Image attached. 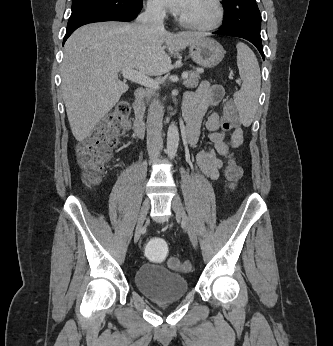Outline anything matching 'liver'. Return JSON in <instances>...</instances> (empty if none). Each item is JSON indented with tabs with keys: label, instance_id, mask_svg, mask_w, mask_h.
Instances as JSON below:
<instances>
[{
	"label": "liver",
	"instance_id": "obj_1",
	"mask_svg": "<svg viewBox=\"0 0 333 346\" xmlns=\"http://www.w3.org/2000/svg\"><path fill=\"white\" fill-rule=\"evenodd\" d=\"M203 37L150 31L138 23H94L77 29L65 43L61 66L62 96L75 139H86L128 91L118 78L122 69L163 75L172 67L170 55Z\"/></svg>",
	"mask_w": 333,
	"mask_h": 346
}]
</instances>
